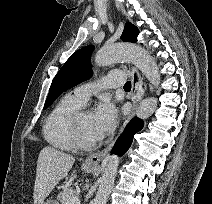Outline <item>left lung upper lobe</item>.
<instances>
[{"instance_id":"left-lung-upper-lobe-1","label":"left lung upper lobe","mask_w":212,"mask_h":204,"mask_svg":"<svg viewBox=\"0 0 212 204\" xmlns=\"http://www.w3.org/2000/svg\"><path fill=\"white\" fill-rule=\"evenodd\" d=\"M138 34V28L128 22L125 25L121 39L124 42L135 43L137 42ZM92 50L93 46L81 48L73 53L72 56L65 62L51 84L44 109L50 106L62 92L92 76L90 65V55Z\"/></svg>"}]
</instances>
